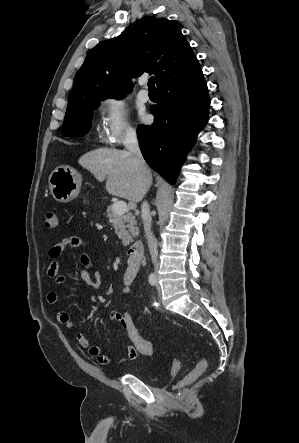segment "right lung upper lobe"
Returning <instances> with one entry per match:
<instances>
[{"instance_id":"right-lung-upper-lobe-1","label":"right lung upper lobe","mask_w":299,"mask_h":443,"mask_svg":"<svg viewBox=\"0 0 299 443\" xmlns=\"http://www.w3.org/2000/svg\"><path fill=\"white\" fill-rule=\"evenodd\" d=\"M200 65L180 29L166 18L145 17L91 49L77 73L68 107L131 92L129 79L153 72L159 86Z\"/></svg>"}]
</instances>
